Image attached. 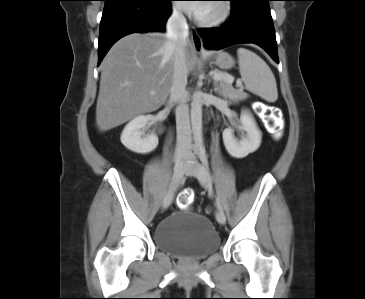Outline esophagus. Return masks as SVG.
Wrapping results in <instances>:
<instances>
[{
	"mask_svg": "<svg viewBox=\"0 0 365 299\" xmlns=\"http://www.w3.org/2000/svg\"><path fill=\"white\" fill-rule=\"evenodd\" d=\"M191 43L196 52L203 51V41L195 29L191 30Z\"/></svg>",
	"mask_w": 365,
	"mask_h": 299,
	"instance_id": "obj_1",
	"label": "esophagus"
}]
</instances>
